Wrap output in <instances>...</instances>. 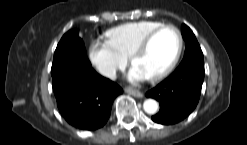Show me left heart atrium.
I'll return each mask as SVG.
<instances>
[{"label":"left heart atrium","instance_id":"obj_1","mask_svg":"<svg viewBox=\"0 0 247 145\" xmlns=\"http://www.w3.org/2000/svg\"><path fill=\"white\" fill-rule=\"evenodd\" d=\"M128 78L130 81H143L148 77L136 67H133L129 72Z\"/></svg>","mask_w":247,"mask_h":145}]
</instances>
